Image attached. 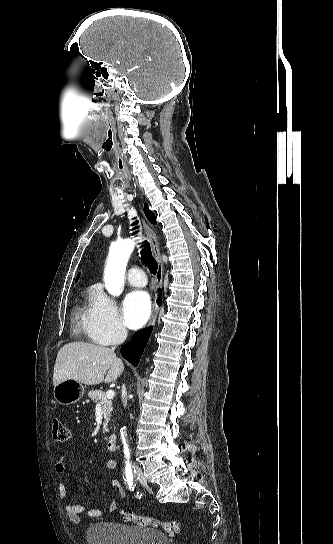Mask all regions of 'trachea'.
Listing matches in <instances>:
<instances>
[{
	"mask_svg": "<svg viewBox=\"0 0 333 544\" xmlns=\"http://www.w3.org/2000/svg\"><path fill=\"white\" fill-rule=\"evenodd\" d=\"M137 224H138L137 220L135 222H133L132 225L135 226L133 229L138 228ZM137 233H138V231H135V232H133V235H136ZM140 254H141V258L143 259L144 264L146 266H148L150 272L152 274H156L158 264H157L156 260L154 259V257L152 256L150 244H149L148 241H145L144 244L142 245V250L140 251Z\"/></svg>",
	"mask_w": 333,
	"mask_h": 544,
	"instance_id": "3493384b",
	"label": "trachea"
}]
</instances>
